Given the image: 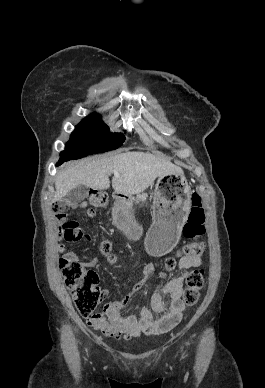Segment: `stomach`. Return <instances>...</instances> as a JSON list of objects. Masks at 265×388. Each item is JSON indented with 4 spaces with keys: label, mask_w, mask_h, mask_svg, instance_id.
Masks as SVG:
<instances>
[{
    "label": "stomach",
    "mask_w": 265,
    "mask_h": 388,
    "mask_svg": "<svg viewBox=\"0 0 265 388\" xmlns=\"http://www.w3.org/2000/svg\"><path fill=\"white\" fill-rule=\"evenodd\" d=\"M190 207L191 188L184 173L173 172L158 177L153 194V224L146 237V246L151 255L163 256L176 246ZM113 215L128 236L137 239L141 235L130 199L118 198Z\"/></svg>",
    "instance_id": "stomach-1"
}]
</instances>
